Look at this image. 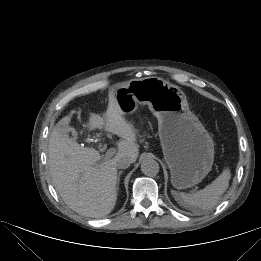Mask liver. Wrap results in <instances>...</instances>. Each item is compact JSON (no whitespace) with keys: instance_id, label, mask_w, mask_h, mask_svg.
<instances>
[{"instance_id":"6515ba94","label":"liver","mask_w":261,"mask_h":261,"mask_svg":"<svg viewBox=\"0 0 261 261\" xmlns=\"http://www.w3.org/2000/svg\"><path fill=\"white\" fill-rule=\"evenodd\" d=\"M125 84L109 90L104 116L89 113L88 122L83 124L90 131L104 129L123 139L118 142V152L112 159L101 161L97 150L81 146L62 129L81 110H71L50 135L48 165L52 183L64 202L83 216L101 218L111 213L117 201V158L125 155L135 162L139 155L136 129L126 120L115 98L116 88Z\"/></svg>"}]
</instances>
